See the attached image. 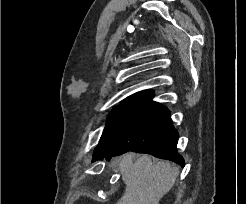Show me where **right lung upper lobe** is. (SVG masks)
Returning <instances> with one entry per match:
<instances>
[{"label": "right lung upper lobe", "instance_id": "obj_1", "mask_svg": "<svg viewBox=\"0 0 246 204\" xmlns=\"http://www.w3.org/2000/svg\"><path fill=\"white\" fill-rule=\"evenodd\" d=\"M151 93H152V91H141V92L135 93V94L127 97L124 101L137 102V101L143 99L144 97L150 95Z\"/></svg>", "mask_w": 246, "mask_h": 204}]
</instances>
